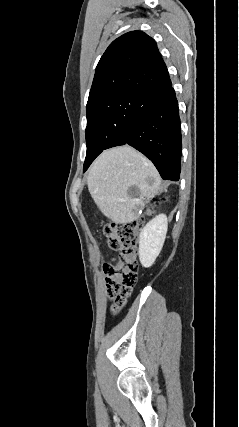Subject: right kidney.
Instances as JSON below:
<instances>
[{
  "instance_id": "obj_1",
  "label": "right kidney",
  "mask_w": 239,
  "mask_h": 427,
  "mask_svg": "<svg viewBox=\"0 0 239 427\" xmlns=\"http://www.w3.org/2000/svg\"><path fill=\"white\" fill-rule=\"evenodd\" d=\"M168 229L167 217L160 214L143 228L139 236V259L143 267H150L160 254Z\"/></svg>"
}]
</instances>
